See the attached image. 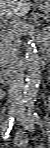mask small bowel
I'll return each instance as SVG.
<instances>
[{"mask_svg": "<svg viewBox=\"0 0 50 148\" xmlns=\"http://www.w3.org/2000/svg\"><path fill=\"white\" fill-rule=\"evenodd\" d=\"M14 144L16 147H26L27 144V133L25 131H20L16 134L14 139ZM43 146H38V148H42Z\"/></svg>", "mask_w": 50, "mask_h": 148, "instance_id": "1", "label": "small bowel"}]
</instances>
